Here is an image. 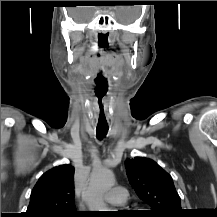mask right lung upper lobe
I'll return each instance as SVG.
<instances>
[{"label": "right lung upper lobe", "mask_w": 217, "mask_h": 217, "mask_svg": "<svg viewBox=\"0 0 217 217\" xmlns=\"http://www.w3.org/2000/svg\"><path fill=\"white\" fill-rule=\"evenodd\" d=\"M73 178L74 168L67 164L44 173L32 190L25 217L77 215Z\"/></svg>", "instance_id": "right-lung-upper-lobe-1"}]
</instances>
